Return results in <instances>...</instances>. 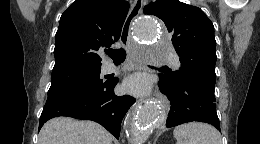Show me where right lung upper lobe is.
I'll return each mask as SVG.
<instances>
[{"label":"right lung upper lobe","instance_id":"right-lung-upper-lobe-1","mask_svg":"<svg viewBox=\"0 0 260 144\" xmlns=\"http://www.w3.org/2000/svg\"><path fill=\"white\" fill-rule=\"evenodd\" d=\"M129 9L123 0H76L62 14L55 39L54 70L101 67L99 52L114 44Z\"/></svg>","mask_w":260,"mask_h":144}]
</instances>
